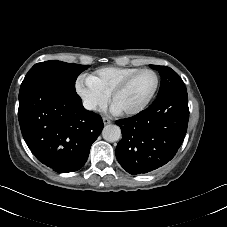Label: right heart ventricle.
<instances>
[{
    "label": "right heart ventricle",
    "instance_id": "right-heart-ventricle-1",
    "mask_svg": "<svg viewBox=\"0 0 227 227\" xmlns=\"http://www.w3.org/2000/svg\"><path fill=\"white\" fill-rule=\"evenodd\" d=\"M139 67H105L97 70L89 79L109 95L114 88L130 75L139 71Z\"/></svg>",
    "mask_w": 227,
    "mask_h": 227
}]
</instances>
